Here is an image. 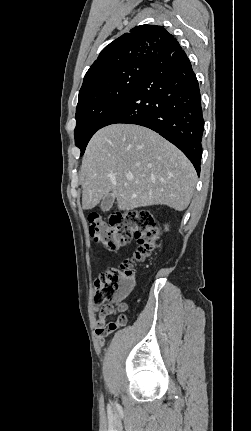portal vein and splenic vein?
I'll use <instances>...</instances> for the list:
<instances>
[{
  "instance_id": "18ae733b",
  "label": "portal vein and splenic vein",
  "mask_w": 251,
  "mask_h": 431,
  "mask_svg": "<svg viewBox=\"0 0 251 431\" xmlns=\"http://www.w3.org/2000/svg\"><path fill=\"white\" fill-rule=\"evenodd\" d=\"M127 178H128V180H132L133 176H128Z\"/></svg>"
}]
</instances>
